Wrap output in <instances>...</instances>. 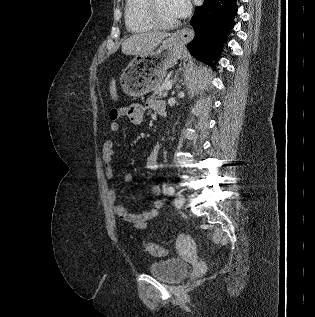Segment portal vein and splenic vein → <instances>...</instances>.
<instances>
[{
	"label": "portal vein and splenic vein",
	"instance_id": "portal-vein-and-splenic-vein-1",
	"mask_svg": "<svg viewBox=\"0 0 315 317\" xmlns=\"http://www.w3.org/2000/svg\"><path fill=\"white\" fill-rule=\"evenodd\" d=\"M172 85H173V82L172 80H169L167 83H166V86H165V89L168 91L172 88Z\"/></svg>",
	"mask_w": 315,
	"mask_h": 317
}]
</instances>
